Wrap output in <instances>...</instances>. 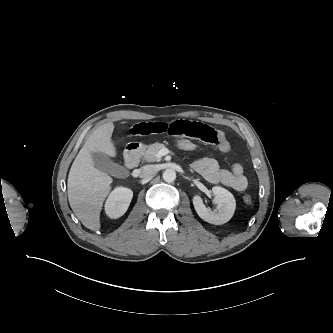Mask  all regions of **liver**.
Returning a JSON list of instances; mask_svg holds the SVG:
<instances>
[{
  "mask_svg": "<svg viewBox=\"0 0 333 333\" xmlns=\"http://www.w3.org/2000/svg\"><path fill=\"white\" fill-rule=\"evenodd\" d=\"M112 122L98 127L86 140L76 156L67 180L68 200L76 217L90 230L100 229V212L111 190L112 178L94 166L93 152L116 156L111 140Z\"/></svg>",
  "mask_w": 333,
  "mask_h": 333,
  "instance_id": "obj_1",
  "label": "liver"
}]
</instances>
